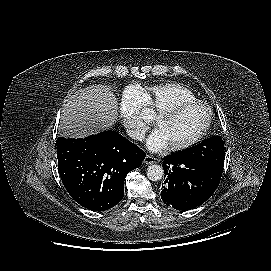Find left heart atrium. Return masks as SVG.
I'll use <instances>...</instances> for the list:
<instances>
[{
  "mask_svg": "<svg viewBox=\"0 0 271 271\" xmlns=\"http://www.w3.org/2000/svg\"><path fill=\"white\" fill-rule=\"evenodd\" d=\"M146 146L150 151L158 152L168 147V142L163 132L156 128L148 137Z\"/></svg>",
  "mask_w": 271,
  "mask_h": 271,
  "instance_id": "1",
  "label": "left heart atrium"
}]
</instances>
